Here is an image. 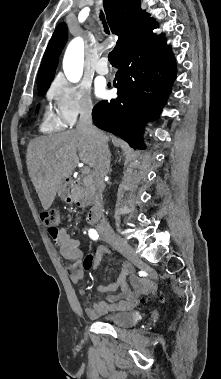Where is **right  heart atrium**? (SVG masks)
<instances>
[{"mask_svg": "<svg viewBox=\"0 0 221 379\" xmlns=\"http://www.w3.org/2000/svg\"><path fill=\"white\" fill-rule=\"evenodd\" d=\"M48 97L53 102L57 116L66 126H73L78 118L92 114L94 103L88 87L58 79L49 90Z\"/></svg>", "mask_w": 221, "mask_h": 379, "instance_id": "right-heart-atrium-1", "label": "right heart atrium"}]
</instances>
